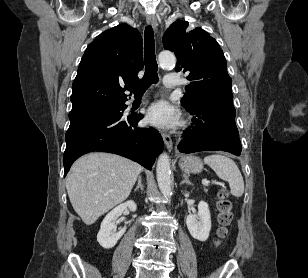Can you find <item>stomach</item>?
<instances>
[{
	"instance_id": "stomach-1",
	"label": "stomach",
	"mask_w": 308,
	"mask_h": 278,
	"mask_svg": "<svg viewBox=\"0 0 308 278\" xmlns=\"http://www.w3.org/2000/svg\"><path fill=\"white\" fill-rule=\"evenodd\" d=\"M180 168L185 173H200L203 169V163L200 158L188 155L183 156L179 162Z\"/></svg>"
}]
</instances>
